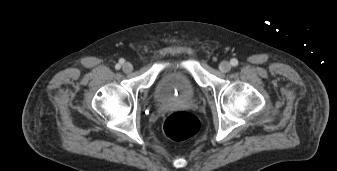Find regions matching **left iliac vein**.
I'll use <instances>...</instances> for the list:
<instances>
[{
  "label": "left iliac vein",
  "instance_id": "obj_1",
  "mask_svg": "<svg viewBox=\"0 0 337 171\" xmlns=\"http://www.w3.org/2000/svg\"><path fill=\"white\" fill-rule=\"evenodd\" d=\"M219 69L221 72L226 73L231 70V65L228 61H222L219 65Z\"/></svg>",
  "mask_w": 337,
  "mask_h": 171
}]
</instances>
